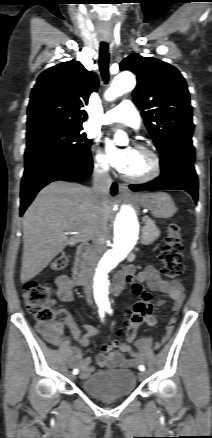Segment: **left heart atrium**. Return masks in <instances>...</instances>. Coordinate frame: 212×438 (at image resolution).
Listing matches in <instances>:
<instances>
[{
    "label": "left heart atrium",
    "instance_id": "left-heart-atrium-1",
    "mask_svg": "<svg viewBox=\"0 0 212 438\" xmlns=\"http://www.w3.org/2000/svg\"><path fill=\"white\" fill-rule=\"evenodd\" d=\"M106 148L112 165L119 171L124 172L130 163L135 149L131 147L118 148L111 140L106 141Z\"/></svg>",
    "mask_w": 212,
    "mask_h": 438
}]
</instances>
